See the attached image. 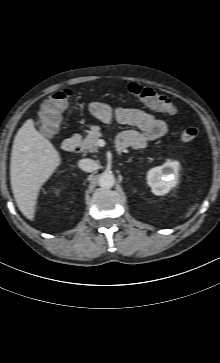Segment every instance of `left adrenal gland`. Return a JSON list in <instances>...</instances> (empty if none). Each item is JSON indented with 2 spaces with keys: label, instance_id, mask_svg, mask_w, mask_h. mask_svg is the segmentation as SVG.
I'll return each mask as SVG.
<instances>
[{
  "label": "left adrenal gland",
  "instance_id": "a2214340",
  "mask_svg": "<svg viewBox=\"0 0 220 363\" xmlns=\"http://www.w3.org/2000/svg\"><path fill=\"white\" fill-rule=\"evenodd\" d=\"M132 161V158H130L129 160H128V162H131Z\"/></svg>",
  "mask_w": 220,
  "mask_h": 363
}]
</instances>
